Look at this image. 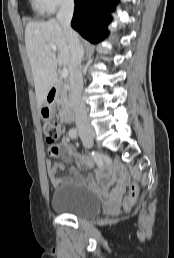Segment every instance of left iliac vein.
<instances>
[{"label": "left iliac vein", "instance_id": "4c4485c4", "mask_svg": "<svg viewBox=\"0 0 174 258\" xmlns=\"http://www.w3.org/2000/svg\"><path fill=\"white\" fill-rule=\"evenodd\" d=\"M82 141H83V145L86 147V148H91L92 145H93V141L86 138V137H82Z\"/></svg>", "mask_w": 174, "mask_h": 258}]
</instances>
